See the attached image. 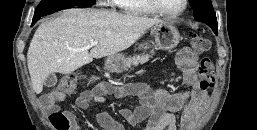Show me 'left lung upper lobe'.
Instances as JSON below:
<instances>
[{
	"label": "left lung upper lobe",
	"mask_w": 257,
	"mask_h": 130,
	"mask_svg": "<svg viewBox=\"0 0 257 130\" xmlns=\"http://www.w3.org/2000/svg\"><path fill=\"white\" fill-rule=\"evenodd\" d=\"M193 6L194 18L206 22L214 31L217 29L216 14L210 0H190Z\"/></svg>",
	"instance_id": "1"
}]
</instances>
